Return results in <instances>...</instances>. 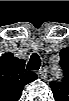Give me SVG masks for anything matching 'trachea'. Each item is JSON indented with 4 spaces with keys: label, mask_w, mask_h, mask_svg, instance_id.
<instances>
[{
    "label": "trachea",
    "mask_w": 69,
    "mask_h": 101,
    "mask_svg": "<svg viewBox=\"0 0 69 101\" xmlns=\"http://www.w3.org/2000/svg\"><path fill=\"white\" fill-rule=\"evenodd\" d=\"M41 66V59L38 54L33 53L27 64V69L29 70H39Z\"/></svg>",
    "instance_id": "3493384b"
}]
</instances>
